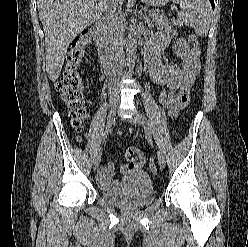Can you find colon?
I'll use <instances>...</instances> for the list:
<instances>
[{
    "label": "colon",
    "instance_id": "5ec220e1",
    "mask_svg": "<svg viewBox=\"0 0 248 247\" xmlns=\"http://www.w3.org/2000/svg\"><path fill=\"white\" fill-rule=\"evenodd\" d=\"M92 38L93 30H87L74 39L67 53L63 72L56 82V91L67 106L69 119L77 131L82 130L87 116L84 83L78 66L82 60L84 50ZM188 40L191 46H198V39L195 36H190ZM159 105L163 111H169L170 92L167 90L160 92ZM149 169L152 173H157V166L153 158L149 160Z\"/></svg>",
    "mask_w": 248,
    "mask_h": 247
}]
</instances>
